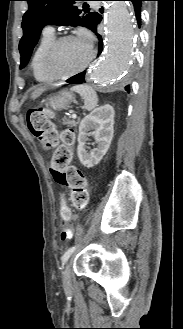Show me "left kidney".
Here are the masks:
<instances>
[{
    "mask_svg": "<svg viewBox=\"0 0 183 329\" xmlns=\"http://www.w3.org/2000/svg\"><path fill=\"white\" fill-rule=\"evenodd\" d=\"M114 109L103 105L85 116L79 125L77 154L80 162L87 168L98 164L108 151L114 133ZM93 130L92 132H89ZM88 136H93L98 144L96 149L87 151Z\"/></svg>",
    "mask_w": 183,
    "mask_h": 329,
    "instance_id": "left-kidney-1",
    "label": "left kidney"
}]
</instances>
